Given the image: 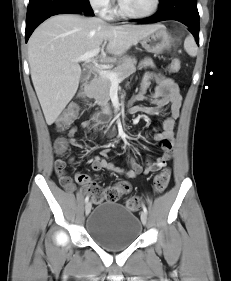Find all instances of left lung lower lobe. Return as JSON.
Masks as SVG:
<instances>
[{
  "label": "left lung lower lobe",
  "mask_w": 231,
  "mask_h": 281,
  "mask_svg": "<svg viewBox=\"0 0 231 281\" xmlns=\"http://www.w3.org/2000/svg\"><path fill=\"white\" fill-rule=\"evenodd\" d=\"M163 20H176L188 26L199 44V13L197 0H162L159 11L145 19H134L130 22L139 24L155 23Z\"/></svg>",
  "instance_id": "left-lung-lower-lobe-1"
}]
</instances>
